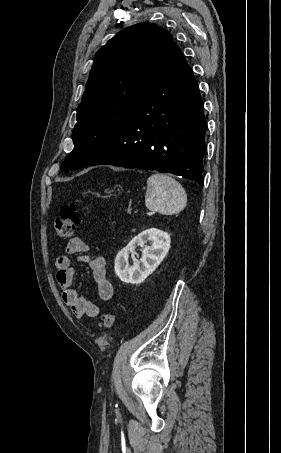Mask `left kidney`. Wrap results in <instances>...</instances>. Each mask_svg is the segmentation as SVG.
Returning a JSON list of instances; mask_svg holds the SVG:
<instances>
[{"label": "left kidney", "instance_id": "left-kidney-1", "mask_svg": "<svg viewBox=\"0 0 281 453\" xmlns=\"http://www.w3.org/2000/svg\"><path fill=\"white\" fill-rule=\"evenodd\" d=\"M146 243H150L151 247H147ZM171 237L164 231L159 229H147L137 237H134L127 247L121 249L115 259V273L123 283H131V285H140L143 283L164 257H166L170 249ZM136 247H143L142 259L137 261L135 265L129 267L130 253L135 255ZM142 263V265H140Z\"/></svg>", "mask_w": 281, "mask_h": 453}]
</instances>
